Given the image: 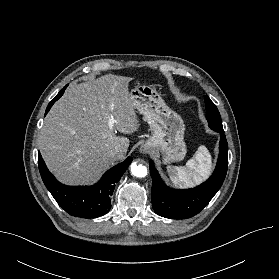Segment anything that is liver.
<instances>
[{
  "label": "liver",
  "mask_w": 279,
  "mask_h": 279,
  "mask_svg": "<svg viewBox=\"0 0 279 279\" xmlns=\"http://www.w3.org/2000/svg\"><path fill=\"white\" fill-rule=\"evenodd\" d=\"M133 78L107 74L74 84L52 106L38 137L48 169L67 185L95 182L115 161L122 160L131 134L139 129L129 92ZM113 118V129L109 120ZM115 148L121 154L111 157Z\"/></svg>",
  "instance_id": "liver-1"
}]
</instances>
